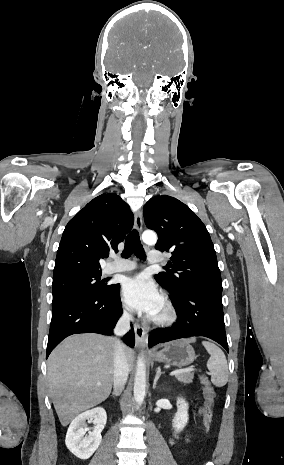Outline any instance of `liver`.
<instances>
[{"mask_svg":"<svg viewBox=\"0 0 284 465\" xmlns=\"http://www.w3.org/2000/svg\"><path fill=\"white\" fill-rule=\"evenodd\" d=\"M186 343L195 341L184 339ZM131 371L134 353L124 347ZM115 341L102 335H72L48 359V385L63 427L79 413L108 399L114 381Z\"/></svg>","mask_w":284,"mask_h":465,"instance_id":"1","label":"liver"}]
</instances>
